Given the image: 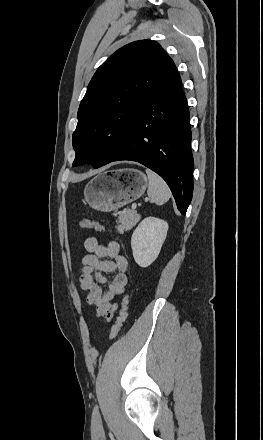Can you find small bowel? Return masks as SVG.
<instances>
[{"instance_id":"obj_1","label":"small bowel","mask_w":263,"mask_h":440,"mask_svg":"<svg viewBox=\"0 0 263 440\" xmlns=\"http://www.w3.org/2000/svg\"><path fill=\"white\" fill-rule=\"evenodd\" d=\"M84 247L88 254L82 258L80 288L86 292V300L95 308L96 316L110 321L117 308L115 300L128 284V262L115 241L102 245L96 238L88 237ZM112 272L117 273L108 281L105 274Z\"/></svg>"}]
</instances>
